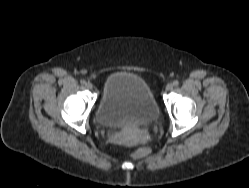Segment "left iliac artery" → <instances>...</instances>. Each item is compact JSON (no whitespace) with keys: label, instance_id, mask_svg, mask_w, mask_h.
<instances>
[{"label":"left iliac artery","instance_id":"1","mask_svg":"<svg viewBox=\"0 0 249 188\" xmlns=\"http://www.w3.org/2000/svg\"><path fill=\"white\" fill-rule=\"evenodd\" d=\"M179 85V81L178 80H175L174 82H173V86H178Z\"/></svg>","mask_w":249,"mask_h":188}]
</instances>
